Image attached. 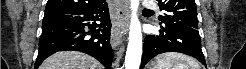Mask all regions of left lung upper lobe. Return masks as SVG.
I'll list each match as a JSON object with an SVG mask.
<instances>
[{
  "mask_svg": "<svg viewBox=\"0 0 246 69\" xmlns=\"http://www.w3.org/2000/svg\"><path fill=\"white\" fill-rule=\"evenodd\" d=\"M164 15L159 20L169 26L198 29L196 3L194 0H157Z\"/></svg>",
  "mask_w": 246,
  "mask_h": 69,
  "instance_id": "obj_1",
  "label": "left lung upper lobe"
}]
</instances>
